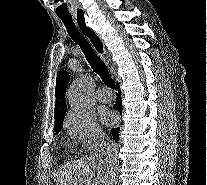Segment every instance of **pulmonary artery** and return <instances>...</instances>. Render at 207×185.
<instances>
[{
	"mask_svg": "<svg viewBox=\"0 0 207 185\" xmlns=\"http://www.w3.org/2000/svg\"><path fill=\"white\" fill-rule=\"evenodd\" d=\"M96 98L101 103H107L111 101L112 93L110 91L102 90L100 88L96 92Z\"/></svg>",
	"mask_w": 207,
	"mask_h": 185,
	"instance_id": "e3ab8cb5",
	"label": "pulmonary artery"
}]
</instances>
